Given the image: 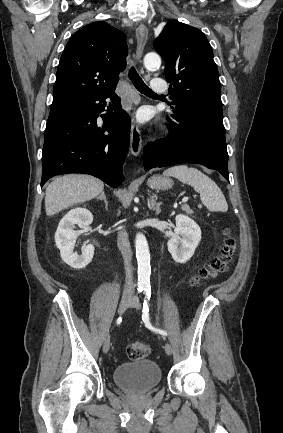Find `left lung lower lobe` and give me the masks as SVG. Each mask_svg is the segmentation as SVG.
<instances>
[{"mask_svg":"<svg viewBox=\"0 0 283 433\" xmlns=\"http://www.w3.org/2000/svg\"><path fill=\"white\" fill-rule=\"evenodd\" d=\"M170 130L166 139L145 146L146 171L179 163H197L217 170L229 181L225 130L191 122H172Z\"/></svg>","mask_w":283,"mask_h":433,"instance_id":"left-lung-lower-lobe-1","label":"left lung lower lobe"}]
</instances>
